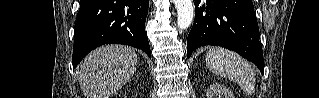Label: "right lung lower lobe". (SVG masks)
<instances>
[{
  "label": "right lung lower lobe",
  "instance_id": "1",
  "mask_svg": "<svg viewBox=\"0 0 319 98\" xmlns=\"http://www.w3.org/2000/svg\"><path fill=\"white\" fill-rule=\"evenodd\" d=\"M148 7V0H81L75 23L73 67L103 44L130 45L151 58L145 32Z\"/></svg>",
  "mask_w": 319,
  "mask_h": 98
}]
</instances>
